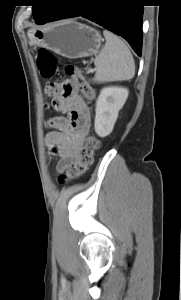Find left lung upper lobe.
Wrapping results in <instances>:
<instances>
[{
    "instance_id": "left-lung-upper-lobe-1",
    "label": "left lung upper lobe",
    "mask_w": 181,
    "mask_h": 300,
    "mask_svg": "<svg viewBox=\"0 0 181 300\" xmlns=\"http://www.w3.org/2000/svg\"><path fill=\"white\" fill-rule=\"evenodd\" d=\"M45 1L50 0H33V17L37 24H44L46 20L55 12L58 5H44ZM55 2V1H54Z\"/></svg>"
}]
</instances>
